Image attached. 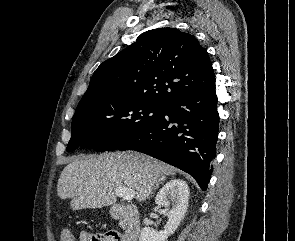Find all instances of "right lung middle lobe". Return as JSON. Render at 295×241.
Segmentation results:
<instances>
[{
	"mask_svg": "<svg viewBox=\"0 0 295 241\" xmlns=\"http://www.w3.org/2000/svg\"><path fill=\"white\" fill-rule=\"evenodd\" d=\"M162 107L112 94L81 99L73 116L67 151L79 146L98 152L116 150L156 119Z\"/></svg>",
	"mask_w": 295,
	"mask_h": 241,
	"instance_id": "obj_1",
	"label": "right lung middle lobe"
}]
</instances>
